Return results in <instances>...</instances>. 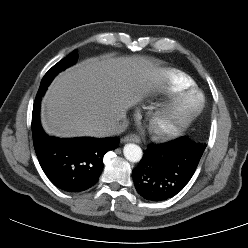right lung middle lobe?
<instances>
[{"label": "right lung middle lobe", "instance_id": "right-lung-middle-lobe-1", "mask_svg": "<svg viewBox=\"0 0 248 248\" xmlns=\"http://www.w3.org/2000/svg\"><path fill=\"white\" fill-rule=\"evenodd\" d=\"M78 58V51L74 50L67 57L55 64L43 77L40 86H48L52 79L62 70L75 63Z\"/></svg>", "mask_w": 248, "mask_h": 248}]
</instances>
